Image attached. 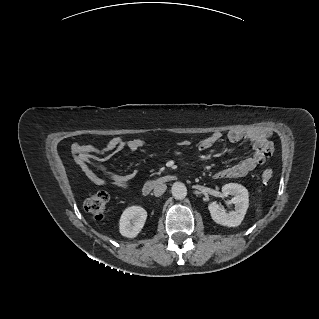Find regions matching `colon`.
<instances>
[{"label":"colon","instance_id":"5ec220e1","mask_svg":"<svg viewBox=\"0 0 319 319\" xmlns=\"http://www.w3.org/2000/svg\"><path fill=\"white\" fill-rule=\"evenodd\" d=\"M262 152L268 157L272 153V144L270 141H264L261 146ZM274 173L271 169L262 171L261 177L265 182L273 179ZM109 202V194L105 191H100L88 197L84 202V209L91 214L94 218L100 219L104 217L107 205Z\"/></svg>","mask_w":319,"mask_h":319}]
</instances>
